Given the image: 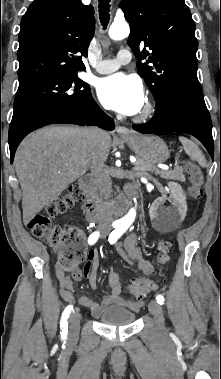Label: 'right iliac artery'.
I'll list each match as a JSON object with an SVG mask.
<instances>
[{"instance_id": "obj_1", "label": "right iliac artery", "mask_w": 221, "mask_h": 379, "mask_svg": "<svg viewBox=\"0 0 221 379\" xmlns=\"http://www.w3.org/2000/svg\"><path fill=\"white\" fill-rule=\"evenodd\" d=\"M113 227H118L116 226L115 224L113 225ZM100 236V233L99 231H95L93 232L89 238H88V243L90 245H93L94 243H96V241L98 240ZM73 310V306L72 305H68L65 310L63 311L62 313V316H61V320H60V328H61V337L65 338L66 335H67V327H68V323H67V319L70 315V313L72 312Z\"/></svg>"}]
</instances>
